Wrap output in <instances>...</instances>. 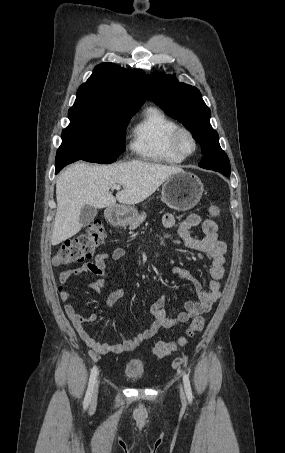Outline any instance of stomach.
I'll return each instance as SVG.
<instances>
[{
	"label": "stomach",
	"instance_id": "0dacf381",
	"mask_svg": "<svg viewBox=\"0 0 285 453\" xmlns=\"http://www.w3.org/2000/svg\"><path fill=\"white\" fill-rule=\"evenodd\" d=\"M204 186L193 173L181 171L171 175L162 186V199L174 210L186 211L193 208L201 199ZM137 211L133 207L110 209L107 218L115 226H126Z\"/></svg>",
	"mask_w": 285,
	"mask_h": 453
}]
</instances>
